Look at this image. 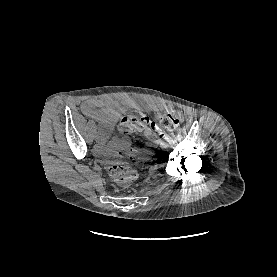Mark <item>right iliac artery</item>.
<instances>
[{"label": "right iliac artery", "instance_id": "82829eb1", "mask_svg": "<svg viewBox=\"0 0 277 277\" xmlns=\"http://www.w3.org/2000/svg\"><path fill=\"white\" fill-rule=\"evenodd\" d=\"M96 136H100L101 132L99 130L95 131Z\"/></svg>", "mask_w": 277, "mask_h": 277}]
</instances>
